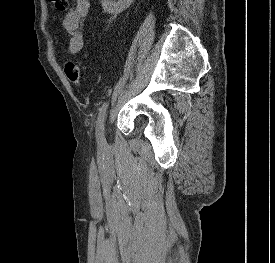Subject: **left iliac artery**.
Segmentation results:
<instances>
[{"mask_svg": "<svg viewBox=\"0 0 275 263\" xmlns=\"http://www.w3.org/2000/svg\"><path fill=\"white\" fill-rule=\"evenodd\" d=\"M109 102H104L99 110V114L96 121V139L99 143L104 144L105 136H104V122L106 118V112L108 108Z\"/></svg>", "mask_w": 275, "mask_h": 263, "instance_id": "left-iliac-artery-1", "label": "left iliac artery"}]
</instances>
